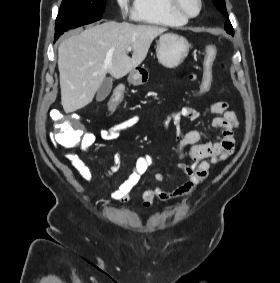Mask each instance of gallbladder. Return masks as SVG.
<instances>
[{
  "label": "gallbladder",
  "instance_id": "1",
  "mask_svg": "<svg viewBox=\"0 0 280 283\" xmlns=\"http://www.w3.org/2000/svg\"><path fill=\"white\" fill-rule=\"evenodd\" d=\"M113 85V79L107 77L104 79L99 89L97 90L96 100L103 101L111 92Z\"/></svg>",
  "mask_w": 280,
  "mask_h": 283
}]
</instances>
